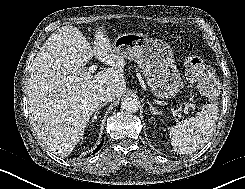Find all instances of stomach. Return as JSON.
<instances>
[{
  "instance_id": "obj_1",
  "label": "stomach",
  "mask_w": 245,
  "mask_h": 189,
  "mask_svg": "<svg viewBox=\"0 0 245 189\" xmlns=\"http://www.w3.org/2000/svg\"><path fill=\"white\" fill-rule=\"evenodd\" d=\"M112 49L120 57L138 63L156 97L169 99L180 91V73L167 43L141 33H127L114 39Z\"/></svg>"
}]
</instances>
